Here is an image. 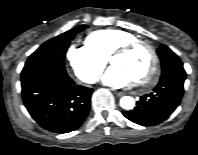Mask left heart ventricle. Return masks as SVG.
I'll list each match as a JSON object with an SVG mask.
<instances>
[{
  "label": "left heart ventricle",
  "mask_w": 198,
  "mask_h": 155,
  "mask_svg": "<svg viewBox=\"0 0 198 155\" xmlns=\"http://www.w3.org/2000/svg\"><path fill=\"white\" fill-rule=\"evenodd\" d=\"M111 63L125 69L136 81L143 79L150 71L152 58L149 50L140 45L126 54L113 57Z\"/></svg>",
  "instance_id": "obj_1"
}]
</instances>
